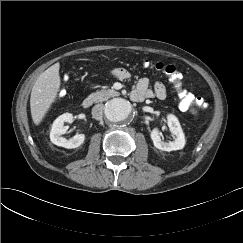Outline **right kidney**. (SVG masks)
Returning <instances> with one entry per match:
<instances>
[{
  "label": "right kidney",
  "mask_w": 243,
  "mask_h": 243,
  "mask_svg": "<svg viewBox=\"0 0 243 243\" xmlns=\"http://www.w3.org/2000/svg\"><path fill=\"white\" fill-rule=\"evenodd\" d=\"M64 122H73V115L71 113H64L60 115L54 122L50 131V140L53 144L67 149L77 148L84 143L85 135L76 134L73 138L66 139L62 135L68 130L64 126Z\"/></svg>",
  "instance_id": "right-kidney-1"
}]
</instances>
